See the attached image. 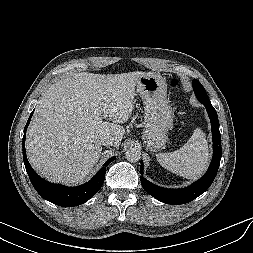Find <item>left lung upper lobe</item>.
<instances>
[{"instance_id": "obj_1", "label": "left lung upper lobe", "mask_w": 253, "mask_h": 253, "mask_svg": "<svg viewBox=\"0 0 253 253\" xmlns=\"http://www.w3.org/2000/svg\"><path fill=\"white\" fill-rule=\"evenodd\" d=\"M193 89H194L197 99L201 103H210V100L208 98L205 88L202 86V84L198 80H193Z\"/></svg>"}]
</instances>
